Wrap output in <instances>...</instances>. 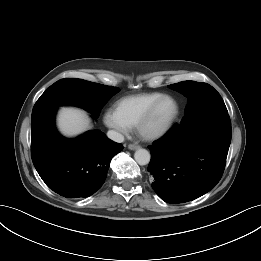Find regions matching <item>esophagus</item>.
<instances>
[{
    "instance_id": "34e87169",
    "label": "esophagus",
    "mask_w": 261,
    "mask_h": 261,
    "mask_svg": "<svg viewBox=\"0 0 261 261\" xmlns=\"http://www.w3.org/2000/svg\"><path fill=\"white\" fill-rule=\"evenodd\" d=\"M128 148H129L130 150H136V149H139V148H140V145H138V144H129V145H128Z\"/></svg>"
}]
</instances>
